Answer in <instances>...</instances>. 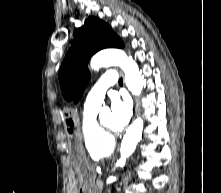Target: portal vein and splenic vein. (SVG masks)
Listing matches in <instances>:
<instances>
[{"label": "portal vein and splenic vein", "instance_id": "18ae733b", "mask_svg": "<svg viewBox=\"0 0 221 193\" xmlns=\"http://www.w3.org/2000/svg\"><path fill=\"white\" fill-rule=\"evenodd\" d=\"M99 185L102 187V185H103V182H102V180L100 179L99 180Z\"/></svg>", "mask_w": 221, "mask_h": 193}]
</instances>
